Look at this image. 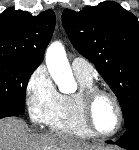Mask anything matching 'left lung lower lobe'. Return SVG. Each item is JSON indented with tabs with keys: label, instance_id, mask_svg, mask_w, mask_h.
Listing matches in <instances>:
<instances>
[{
	"label": "left lung lower lobe",
	"instance_id": "1",
	"mask_svg": "<svg viewBox=\"0 0 139 150\" xmlns=\"http://www.w3.org/2000/svg\"><path fill=\"white\" fill-rule=\"evenodd\" d=\"M107 143L116 144L127 150H139V123L127 128L118 141H107Z\"/></svg>",
	"mask_w": 139,
	"mask_h": 150
}]
</instances>
